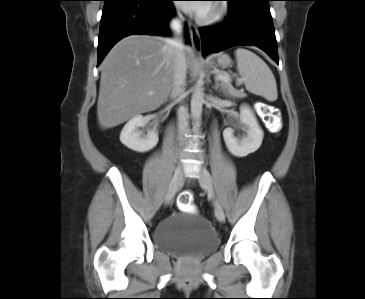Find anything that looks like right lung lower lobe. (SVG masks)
Segmentation results:
<instances>
[{
  "mask_svg": "<svg viewBox=\"0 0 365 299\" xmlns=\"http://www.w3.org/2000/svg\"><path fill=\"white\" fill-rule=\"evenodd\" d=\"M98 40L99 66L110 49L132 34L169 35L173 0H104ZM186 41L188 29L186 28Z\"/></svg>",
  "mask_w": 365,
  "mask_h": 299,
  "instance_id": "right-lung-lower-lobe-1",
  "label": "right lung lower lobe"
}]
</instances>
